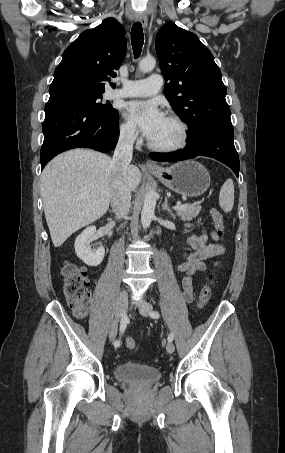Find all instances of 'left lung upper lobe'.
<instances>
[{"mask_svg": "<svg viewBox=\"0 0 285 453\" xmlns=\"http://www.w3.org/2000/svg\"><path fill=\"white\" fill-rule=\"evenodd\" d=\"M155 48L165 96L189 129L208 122L231 123L221 72L194 33L166 23L157 33Z\"/></svg>", "mask_w": 285, "mask_h": 453, "instance_id": "5c2ea615", "label": "left lung upper lobe"}]
</instances>
